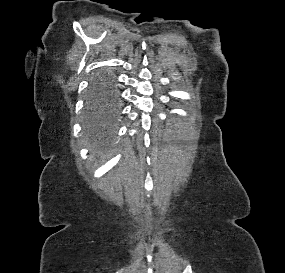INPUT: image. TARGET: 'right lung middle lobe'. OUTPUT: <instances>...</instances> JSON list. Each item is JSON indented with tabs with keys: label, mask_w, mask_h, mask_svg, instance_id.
<instances>
[{
	"label": "right lung middle lobe",
	"mask_w": 285,
	"mask_h": 273,
	"mask_svg": "<svg viewBox=\"0 0 285 273\" xmlns=\"http://www.w3.org/2000/svg\"><path fill=\"white\" fill-rule=\"evenodd\" d=\"M113 85V77L107 73L99 74L92 80L87 98V126L90 131L99 132L117 116V109L111 106L114 97Z\"/></svg>",
	"instance_id": "dd1d6c3e"
}]
</instances>
